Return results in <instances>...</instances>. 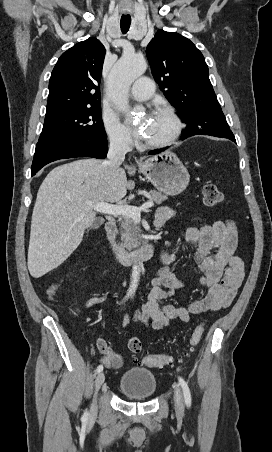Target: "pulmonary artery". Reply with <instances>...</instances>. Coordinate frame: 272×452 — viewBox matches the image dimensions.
<instances>
[{"label":"pulmonary artery","mask_w":272,"mask_h":452,"mask_svg":"<svg viewBox=\"0 0 272 452\" xmlns=\"http://www.w3.org/2000/svg\"><path fill=\"white\" fill-rule=\"evenodd\" d=\"M154 92V83L147 77L139 78L131 87V97L137 101L148 100Z\"/></svg>","instance_id":"1"}]
</instances>
